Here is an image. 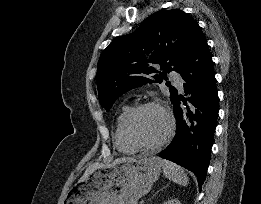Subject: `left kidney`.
<instances>
[{
    "mask_svg": "<svg viewBox=\"0 0 261 204\" xmlns=\"http://www.w3.org/2000/svg\"><path fill=\"white\" fill-rule=\"evenodd\" d=\"M163 204H181L178 199H170L168 201H165Z\"/></svg>",
    "mask_w": 261,
    "mask_h": 204,
    "instance_id": "obj_1",
    "label": "left kidney"
}]
</instances>
